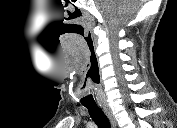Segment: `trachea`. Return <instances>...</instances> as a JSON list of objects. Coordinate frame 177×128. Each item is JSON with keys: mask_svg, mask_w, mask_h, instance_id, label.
I'll use <instances>...</instances> for the list:
<instances>
[{"mask_svg": "<svg viewBox=\"0 0 177 128\" xmlns=\"http://www.w3.org/2000/svg\"><path fill=\"white\" fill-rule=\"evenodd\" d=\"M92 120L97 124L99 128H111L110 122L101 108L98 106H85Z\"/></svg>", "mask_w": 177, "mask_h": 128, "instance_id": "3493384b", "label": "trachea"}]
</instances>
